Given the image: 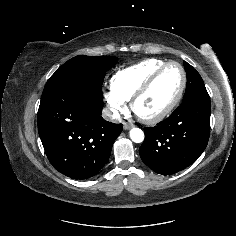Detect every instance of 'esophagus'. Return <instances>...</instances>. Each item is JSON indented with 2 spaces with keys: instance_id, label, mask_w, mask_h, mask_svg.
I'll list each match as a JSON object with an SVG mask.
<instances>
[{
  "instance_id": "obj_1",
  "label": "esophagus",
  "mask_w": 236,
  "mask_h": 236,
  "mask_svg": "<svg viewBox=\"0 0 236 236\" xmlns=\"http://www.w3.org/2000/svg\"><path fill=\"white\" fill-rule=\"evenodd\" d=\"M131 127H132V124L127 123V122H124V123H123V128H124L125 130L130 129Z\"/></svg>"
}]
</instances>
